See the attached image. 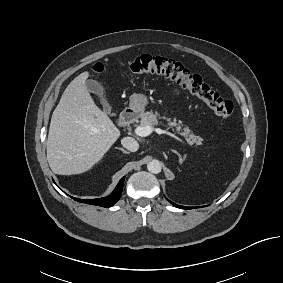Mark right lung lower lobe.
I'll list each match as a JSON object with an SVG mask.
<instances>
[{
	"label": "right lung lower lobe",
	"instance_id": "98d812e1",
	"mask_svg": "<svg viewBox=\"0 0 283 283\" xmlns=\"http://www.w3.org/2000/svg\"><path fill=\"white\" fill-rule=\"evenodd\" d=\"M124 179L125 177H123L119 181L115 190L107 197L99 198V199H85V200L79 199V198H73V199H75L76 201L82 202V203H86V204L98 205L101 207H110L119 200L121 193H122Z\"/></svg>",
	"mask_w": 283,
	"mask_h": 283
}]
</instances>
